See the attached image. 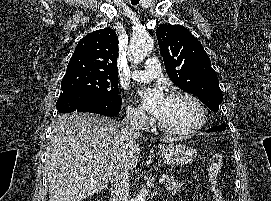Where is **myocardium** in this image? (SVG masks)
Returning <instances> with one entry per match:
<instances>
[{"mask_svg": "<svg viewBox=\"0 0 271 201\" xmlns=\"http://www.w3.org/2000/svg\"><path fill=\"white\" fill-rule=\"evenodd\" d=\"M175 97H181L192 102L196 106L199 112V120L194 126L182 131L171 130L167 128L166 126H164L160 121H158L157 125H158L159 130L166 135L174 136V137H186L198 132L200 129H202L205 126V124L208 121V113H207L205 105L198 97L184 90H180V89L172 90L167 96V98H175Z\"/></svg>", "mask_w": 271, "mask_h": 201, "instance_id": "f54148a6", "label": "myocardium"}]
</instances>
